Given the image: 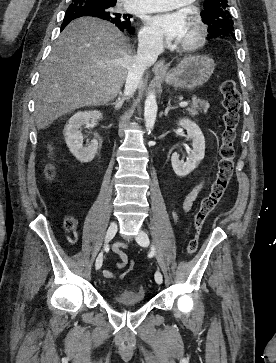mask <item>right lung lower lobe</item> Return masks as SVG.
I'll list each match as a JSON object with an SVG mask.
<instances>
[{
  "label": "right lung lower lobe",
  "mask_w": 276,
  "mask_h": 363,
  "mask_svg": "<svg viewBox=\"0 0 276 363\" xmlns=\"http://www.w3.org/2000/svg\"><path fill=\"white\" fill-rule=\"evenodd\" d=\"M82 16H92V17H98L100 18L98 15L94 14V13H91L89 11H86V10H76V11H73L71 13H66L65 17H64V20H63V23L61 25V30L64 29V27L66 25L69 24V22L73 19H76V18H79V17H82ZM112 22V21H111ZM116 24V26L121 30V31H128L129 33H134V28L131 27V24L130 22L129 23H117V22H113Z\"/></svg>",
  "instance_id": "1"
}]
</instances>
